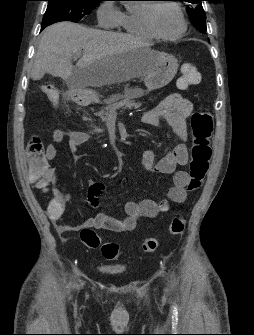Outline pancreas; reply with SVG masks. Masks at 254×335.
I'll return each instance as SVG.
<instances>
[{
  "mask_svg": "<svg viewBox=\"0 0 254 335\" xmlns=\"http://www.w3.org/2000/svg\"><path fill=\"white\" fill-rule=\"evenodd\" d=\"M107 106L98 113V116L101 118L102 122H105L109 112L113 110H117L119 108H128V109H137L141 107L140 102H135L132 98H130L127 94L124 95H112L110 98L105 100ZM94 132H102L101 129L95 128Z\"/></svg>",
  "mask_w": 254,
  "mask_h": 335,
  "instance_id": "1",
  "label": "pancreas"
}]
</instances>
